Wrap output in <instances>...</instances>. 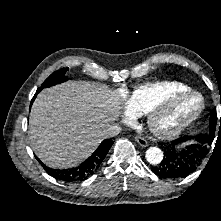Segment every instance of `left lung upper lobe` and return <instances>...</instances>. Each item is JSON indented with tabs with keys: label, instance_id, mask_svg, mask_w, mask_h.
Instances as JSON below:
<instances>
[{
	"label": "left lung upper lobe",
	"instance_id": "5c2ea615",
	"mask_svg": "<svg viewBox=\"0 0 221 221\" xmlns=\"http://www.w3.org/2000/svg\"><path fill=\"white\" fill-rule=\"evenodd\" d=\"M209 123H210L209 133H207L206 135H198L197 136L198 145L200 147H203L206 150L203 158H205L207 156L209 149L211 147V144H212L214 137H215V131L219 126V123L217 121L216 109H213L211 116H210ZM219 130H221V118H220Z\"/></svg>",
	"mask_w": 221,
	"mask_h": 221
}]
</instances>
